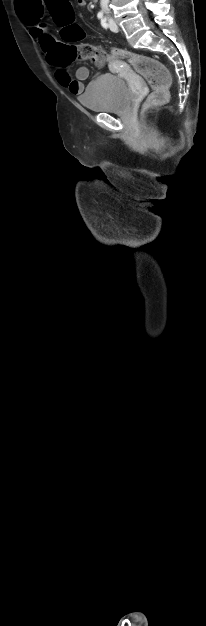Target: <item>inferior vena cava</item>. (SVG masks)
I'll return each instance as SVG.
<instances>
[{
  "label": "inferior vena cava",
  "mask_w": 206,
  "mask_h": 626,
  "mask_svg": "<svg viewBox=\"0 0 206 626\" xmlns=\"http://www.w3.org/2000/svg\"><path fill=\"white\" fill-rule=\"evenodd\" d=\"M109 0H100V6L104 12L108 11Z\"/></svg>",
  "instance_id": "1"
}]
</instances>
